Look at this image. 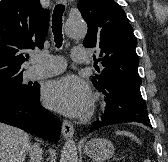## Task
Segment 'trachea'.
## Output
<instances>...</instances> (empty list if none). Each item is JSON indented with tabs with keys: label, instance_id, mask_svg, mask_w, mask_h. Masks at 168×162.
Segmentation results:
<instances>
[{
	"label": "trachea",
	"instance_id": "trachea-1",
	"mask_svg": "<svg viewBox=\"0 0 168 162\" xmlns=\"http://www.w3.org/2000/svg\"><path fill=\"white\" fill-rule=\"evenodd\" d=\"M65 10V6L59 4L55 7L52 16V32L54 34V40L56 47L60 48L63 41L62 36V16Z\"/></svg>",
	"mask_w": 168,
	"mask_h": 162
}]
</instances>
